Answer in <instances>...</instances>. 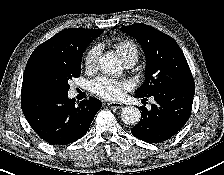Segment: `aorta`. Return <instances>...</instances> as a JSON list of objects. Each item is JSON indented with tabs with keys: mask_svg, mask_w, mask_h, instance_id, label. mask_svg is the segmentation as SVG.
Returning a JSON list of instances; mask_svg holds the SVG:
<instances>
[{
	"mask_svg": "<svg viewBox=\"0 0 224 175\" xmlns=\"http://www.w3.org/2000/svg\"><path fill=\"white\" fill-rule=\"evenodd\" d=\"M100 69L106 74L121 73V61L113 53L104 54L99 59ZM141 113L135 106H126L121 113V119L125 124L134 125L140 121Z\"/></svg>",
	"mask_w": 224,
	"mask_h": 175,
	"instance_id": "762f6f07",
	"label": "aorta"
}]
</instances>
